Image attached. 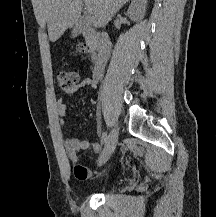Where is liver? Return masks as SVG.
Masks as SVG:
<instances>
[{"instance_id": "6515ba94", "label": "liver", "mask_w": 216, "mask_h": 217, "mask_svg": "<svg viewBox=\"0 0 216 217\" xmlns=\"http://www.w3.org/2000/svg\"><path fill=\"white\" fill-rule=\"evenodd\" d=\"M129 0H43V12L51 42L57 41L64 32L76 24L81 15L82 3L92 9L88 22L94 27H104Z\"/></svg>"}]
</instances>
